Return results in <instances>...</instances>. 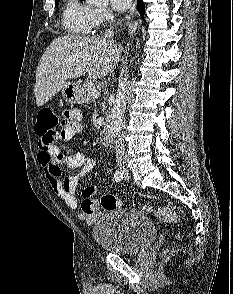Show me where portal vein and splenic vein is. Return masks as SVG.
I'll use <instances>...</instances> for the list:
<instances>
[{"instance_id":"portal-vein-and-splenic-vein-1","label":"portal vein and splenic vein","mask_w":233,"mask_h":294,"mask_svg":"<svg viewBox=\"0 0 233 294\" xmlns=\"http://www.w3.org/2000/svg\"><path fill=\"white\" fill-rule=\"evenodd\" d=\"M89 93L94 98H97L100 95L99 91L96 88H92Z\"/></svg>"}]
</instances>
